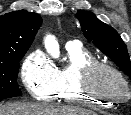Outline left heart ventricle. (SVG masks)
<instances>
[{
    "instance_id": "1",
    "label": "left heart ventricle",
    "mask_w": 131,
    "mask_h": 115,
    "mask_svg": "<svg viewBox=\"0 0 131 115\" xmlns=\"http://www.w3.org/2000/svg\"><path fill=\"white\" fill-rule=\"evenodd\" d=\"M94 86L102 93L114 96L124 95V86L122 82L113 73L100 71L94 77Z\"/></svg>"
}]
</instances>
